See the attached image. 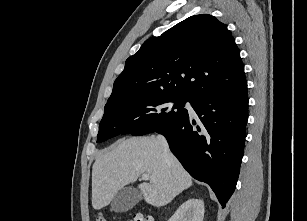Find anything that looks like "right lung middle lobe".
Segmentation results:
<instances>
[{"label": "right lung middle lobe", "instance_id": "dd1d6c3e", "mask_svg": "<svg viewBox=\"0 0 307 221\" xmlns=\"http://www.w3.org/2000/svg\"><path fill=\"white\" fill-rule=\"evenodd\" d=\"M189 101L164 93H146L124 97L105 105L97 142L119 134L141 136L171 126L188 115Z\"/></svg>", "mask_w": 307, "mask_h": 221}]
</instances>
